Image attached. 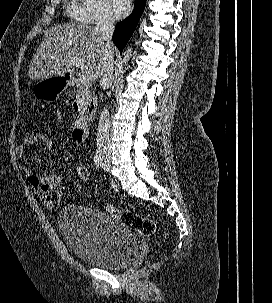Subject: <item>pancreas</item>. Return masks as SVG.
Returning <instances> with one entry per match:
<instances>
[{
    "mask_svg": "<svg viewBox=\"0 0 272 303\" xmlns=\"http://www.w3.org/2000/svg\"><path fill=\"white\" fill-rule=\"evenodd\" d=\"M79 95L82 97L84 102H88L91 99V91L89 90V85L79 86Z\"/></svg>",
    "mask_w": 272,
    "mask_h": 303,
    "instance_id": "obj_1",
    "label": "pancreas"
}]
</instances>
